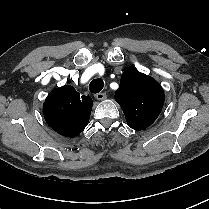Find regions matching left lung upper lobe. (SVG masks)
I'll return each instance as SVG.
<instances>
[{"instance_id":"obj_1","label":"left lung upper lobe","mask_w":209,"mask_h":209,"mask_svg":"<svg viewBox=\"0 0 209 209\" xmlns=\"http://www.w3.org/2000/svg\"><path fill=\"white\" fill-rule=\"evenodd\" d=\"M115 100L121 106L127 124L134 130H143L159 116L164 91L150 76L137 70H126L121 76Z\"/></svg>"}]
</instances>
